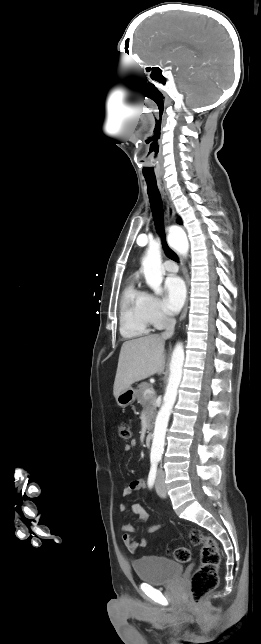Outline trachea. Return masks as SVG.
Instances as JSON below:
<instances>
[{
  "mask_svg": "<svg viewBox=\"0 0 261 644\" xmlns=\"http://www.w3.org/2000/svg\"><path fill=\"white\" fill-rule=\"evenodd\" d=\"M147 185H148V194H149V199L151 203V208L153 211L154 215V220L156 224V229L158 233L162 237V243H163V248L168 257L171 259L178 261L177 255L169 248V246L166 243L165 236H164V230H163V208H162V200L161 196L156 184V180H151V179H146Z\"/></svg>",
  "mask_w": 261,
  "mask_h": 644,
  "instance_id": "3493384b",
  "label": "trachea"
}]
</instances>
